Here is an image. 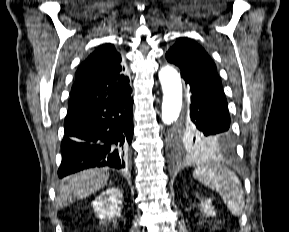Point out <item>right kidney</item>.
I'll use <instances>...</instances> for the list:
<instances>
[{
	"label": "right kidney",
	"instance_id": "ca27d5eb",
	"mask_svg": "<svg viewBox=\"0 0 289 232\" xmlns=\"http://www.w3.org/2000/svg\"><path fill=\"white\" fill-rule=\"evenodd\" d=\"M122 201L123 193L120 189L108 188L95 199L93 209L98 218L106 223L120 216Z\"/></svg>",
	"mask_w": 289,
	"mask_h": 232
}]
</instances>
